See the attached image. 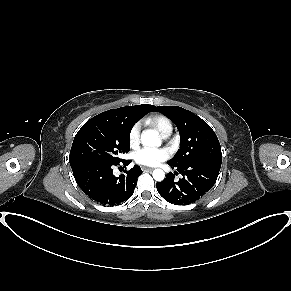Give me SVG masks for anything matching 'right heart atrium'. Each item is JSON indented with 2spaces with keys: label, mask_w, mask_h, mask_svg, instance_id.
<instances>
[{
  "label": "right heart atrium",
  "mask_w": 291,
  "mask_h": 291,
  "mask_svg": "<svg viewBox=\"0 0 291 291\" xmlns=\"http://www.w3.org/2000/svg\"><path fill=\"white\" fill-rule=\"evenodd\" d=\"M141 124L139 122L135 123L129 131L128 140L131 146L138 144L140 140Z\"/></svg>",
  "instance_id": "obj_1"
}]
</instances>
